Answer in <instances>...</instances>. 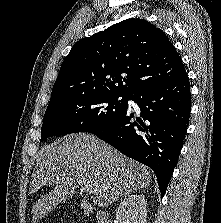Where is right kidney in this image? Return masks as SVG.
<instances>
[{"instance_id": "ca27d5eb", "label": "right kidney", "mask_w": 221, "mask_h": 223, "mask_svg": "<svg viewBox=\"0 0 221 223\" xmlns=\"http://www.w3.org/2000/svg\"><path fill=\"white\" fill-rule=\"evenodd\" d=\"M146 218L147 203L143 195H128L116 211V220L119 223H146Z\"/></svg>"}]
</instances>
